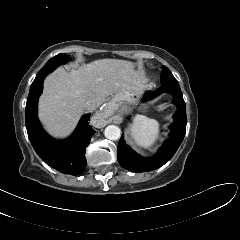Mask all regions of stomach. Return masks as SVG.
I'll list each match as a JSON object with an SVG mask.
<instances>
[{"instance_id":"1","label":"stomach","mask_w":240,"mask_h":240,"mask_svg":"<svg viewBox=\"0 0 240 240\" xmlns=\"http://www.w3.org/2000/svg\"><path fill=\"white\" fill-rule=\"evenodd\" d=\"M141 91L124 90L115 94L111 100V106L115 109L122 108L126 104H136Z\"/></svg>"}]
</instances>
